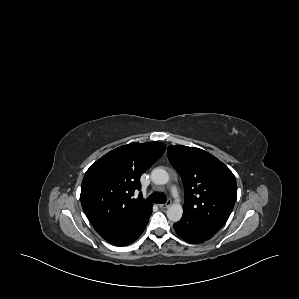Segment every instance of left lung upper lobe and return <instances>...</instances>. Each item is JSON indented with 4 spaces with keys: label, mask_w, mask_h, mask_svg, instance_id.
I'll use <instances>...</instances> for the list:
<instances>
[{
    "label": "left lung upper lobe",
    "mask_w": 299,
    "mask_h": 299,
    "mask_svg": "<svg viewBox=\"0 0 299 299\" xmlns=\"http://www.w3.org/2000/svg\"><path fill=\"white\" fill-rule=\"evenodd\" d=\"M167 153L184 185L183 214L219 231L235 204V176L220 160L202 149L169 146Z\"/></svg>",
    "instance_id": "left-lung-upper-lobe-1"
}]
</instances>
